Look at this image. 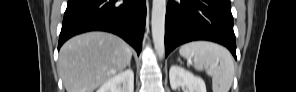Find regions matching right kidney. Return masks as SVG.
<instances>
[{"label":"right kidney","mask_w":296,"mask_h":92,"mask_svg":"<svg viewBox=\"0 0 296 92\" xmlns=\"http://www.w3.org/2000/svg\"><path fill=\"white\" fill-rule=\"evenodd\" d=\"M134 73L132 70H125L114 75L105 81L97 92H133Z\"/></svg>","instance_id":"ca27d5eb"}]
</instances>
